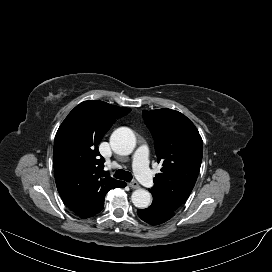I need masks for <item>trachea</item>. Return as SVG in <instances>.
I'll return each mask as SVG.
<instances>
[{"instance_id": "trachea-1", "label": "trachea", "mask_w": 272, "mask_h": 272, "mask_svg": "<svg viewBox=\"0 0 272 272\" xmlns=\"http://www.w3.org/2000/svg\"><path fill=\"white\" fill-rule=\"evenodd\" d=\"M114 177L120 180H124V181H131L132 180V174L128 171H124L122 169H118L115 174Z\"/></svg>"}]
</instances>
